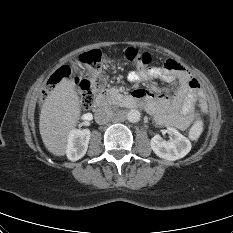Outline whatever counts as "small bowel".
I'll return each instance as SVG.
<instances>
[{
  "mask_svg": "<svg viewBox=\"0 0 233 233\" xmlns=\"http://www.w3.org/2000/svg\"><path fill=\"white\" fill-rule=\"evenodd\" d=\"M128 77L135 82L162 79L178 84V89L172 97L154 94L145 89L134 91V97L161 125L185 130L205 112V105L201 101L203 92L200 83L185 66L174 59H168L157 67L131 71Z\"/></svg>",
  "mask_w": 233,
  "mask_h": 233,
  "instance_id": "obj_1",
  "label": "small bowel"
}]
</instances>
